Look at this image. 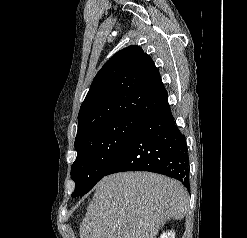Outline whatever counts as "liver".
Instances as JSON below:
<instances>
[{"mask_svg": "<svg viewBox=\"0 0 247 238\" xmlns=\"http://www.w3.org/2000/svg\"><path fill=\"white\" fill-rule=\"evenodd\" d=\"M95 188L80 238H156L166 220H180L188 212L183 185L163 175L117 173Z\"/></svg>", "mask_w": 247, "mask_h": 238, "instance_id": "liver-1", "label": "liver"}]
</instances>
